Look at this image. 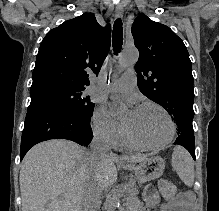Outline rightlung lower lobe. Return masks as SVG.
<instances>
[{
  "instance_id": "98d812e1",
  "label": "right lung lower lobe",
  "mask_w": 219,
  "mask_h": 211,
  "mask_svg": "<svg viewBox=\"0 0 219 211\" xmlns=\"http://www.w3.org/2000/svg\"><path fill=\"white\" fill-rule=\"evenodd\" d=\"M90 120L76 115L51 96L31 97L22 133L20 160L32 146L50 139H68L87 146L93 138Z\"/></svg>"
}]
</instances>
